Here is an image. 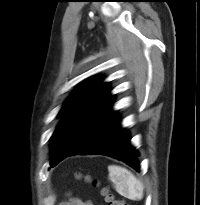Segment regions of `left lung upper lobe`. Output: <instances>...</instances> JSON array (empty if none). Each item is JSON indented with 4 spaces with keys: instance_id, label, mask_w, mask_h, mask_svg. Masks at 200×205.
I'll return each instance as SVG.
<instances>
[{
    "instance_id": "1",
    "label": "left lung upper lobe",
    "mask_w": 200,
    "mask_h": 205,
    "mask_svg": "<svg viewBox=\"0 0 200 205\" xmlns=\"http://www.w3.org/2000/svg\"><path fill=\"white\" fill-rule=\"evenodd\" d=\"M102 80L85 81L59 112L62 120L51 137V167L71 152L111 107L113 96Z\"/></svg>"
}]
</instances>
